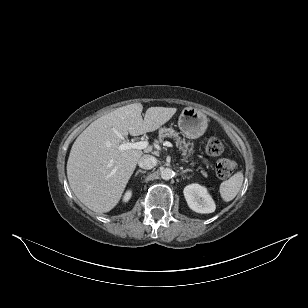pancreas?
<instances>
[{
    "label": "pancreas",
    "instance_id": "obj_1",
    "mask_svg": "<svg viewBox=\"0 0 308 308\" xmlns=\"http://www.w3.org/2000/svg\"><path fill=\"white\" fill-rule=\"evenodd\" d=\"M174 138L176 147L182 151V156H184V160L188 162L187 158L191 155V150L188 148L189 144L182 139L179 134L172 127H162L159 129V141L162 142L164 138ZM189 152V153H188ZM196 163L191 162V165L194 166ZM200 169L201 174L204 177H207V173L203 170L201 166L198 167Z\"/></svg>",
    "mask_w": 308,
    "mask_h": 308
}]
</instances>
